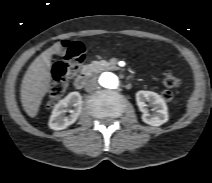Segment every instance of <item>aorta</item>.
I'll return each mask as SVG.
<instances>
[{
	"instance_id": "aorta-1",
	"label": "aorta",
	"mask_w": 212,
	"mask_h": 183,
	"mask_svg": "<svg viewBox=\"0 0 212 183\" xmlns=\"http://www.w3.org/2000/svg\"><path fill=\"white\" fill-rule=\"evenodd\" d=\"M100 85L107 90H116L120 87V79L113 73H103L99 77Z\"/></svg>"
}]
</instances>
